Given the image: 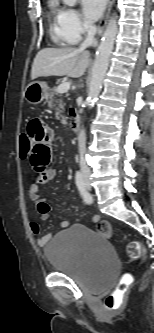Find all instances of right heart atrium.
Returning <instances> with one entry per match:
<instances>
[{
  "mask_svg": "<svg viewBox=\"0 0 154 333\" xmlns=\"http://www.w3.org/2000/svg\"><path fill=\"white\" fill-rule=\"evenodd\" d=\"M62 24L66 39L71 44L78 43L83 36L93 30V27L86 23L74 8L63 9Z\"/></svg>",
  "mask_w": 154,
  "mask_h": 333,
  "instance_id": "1",
  "label": "right heart atrium"
}]
</instances>
